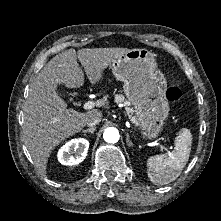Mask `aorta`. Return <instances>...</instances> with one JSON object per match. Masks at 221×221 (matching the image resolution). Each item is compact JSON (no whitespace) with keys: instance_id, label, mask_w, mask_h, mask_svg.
<instances>
[{"instance_id":"762f6f07","label":"aorta","mask_w":221,"mask_h":221,"mask_svg":"<svg viewBox=\"0 0 221 221\" xmlns=\"http://www.w3.org/2000/svg\"><path fill=\"white\" fill-rule=\"evenodd\" d=\"M119 132L114 127L107 128L103 133V138L108 143H117L119 140Z\"/></svg>"}]
</instances>
